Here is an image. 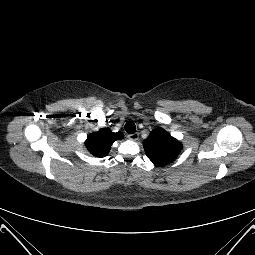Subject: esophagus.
I'll list each match as a JSON object with an SVG mask.
<instances>
[{"mask_svg":"<svg viewBox=\"0 0 255 255\" xmlns=\"http://www.w3.org/2000/svg\"><path fill=\"white\" fill-rule=\"evenodd\" d=\"M127 138H128L129 140L136 141V140L139 139V134H138V133L128 134V135H127Z\"/></svg>","mask_w":255,"mask_h":255,"instance_id":"1","label":"esophagus"}]
</instances>
